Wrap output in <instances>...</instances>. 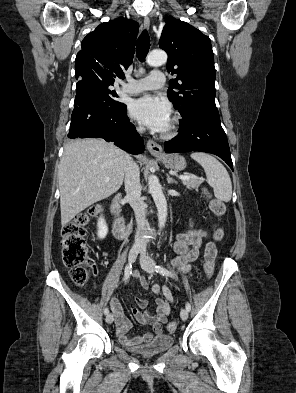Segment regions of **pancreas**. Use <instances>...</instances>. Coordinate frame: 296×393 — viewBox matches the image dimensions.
Masks as SVG:
<instances>
[{
    "label": "pancreas",
    "instance_id": "1",
    "mask_svg": "<svg viewBox=\"0 0 296 393\" xmlns=\"http://www.w3.org/2000/svg\"><path fill=\"white\" fill-rule=\"evenodd\" d=\"M182 183L188 189H190V190L195 189L196 191H198V187L201 185L202 179L194 177V178H189L187 180H182Z\"/></svg>",
    "mask_w": 296,
    "mask_h": 393
}]
</instances>
